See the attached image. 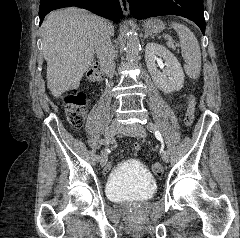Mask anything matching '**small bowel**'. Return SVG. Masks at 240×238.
I'll list each match as a JSON object with an SVG mask.
<instances>
[{"instance_id":"1","label":"small bowel","mask_w":240,"mask_h":238,"mask_svg":"<svg viewBox=\"0 0 240 238\" xmlns=\"http://www.w3.org/2000/svg\"><path fill=\"white\" fill-rule=\"evenodd\" d=\"M118 149L122 147L121 143L117 144ZM132 148H144V143H132L131 144ZM126 152V151H124ZM128 154H140L141 150L140 149H128L127 150ZM114 161H107V163L104 165V169L101 171L102 175H105L107 172H110L111 166H114Z\"/></svg>"}]
</instances>
